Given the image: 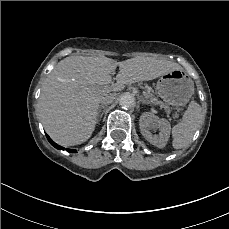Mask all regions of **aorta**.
Instances as JSON below:
<instances>
[{"instance_id": "1", "label": "aorta", "mask_w": 229, "mask_h": 229, "mask_svg": "<svg viewBox=\"0 0 229 229\" xmlns=\"http://www.w3.org/2000/svg\"><path fill=\"white\" fill-rule=\"evenodd\" d=\"M119 104L124 109L133 108L136 104L135 97L131 93H124L120 96Z\"/></svg>"}]
</instances>
